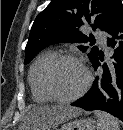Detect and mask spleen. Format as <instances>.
I'll return each mask as SVG.
<instances>
[{"mask_svg": "<svg viewBox=\"0 0 123 130\" xmlns=\"http://www.w3.org/2000/svg\"><path fill=\"white\" fill-rule=\"evenodd\" d=\"M97 117V129L98 130H120L118 120L103 111H95Z\"/></svg>", "mask_w": 123, "mask_h": 130, "instance_id": "1", "label": "spleen"}]
</instances>
